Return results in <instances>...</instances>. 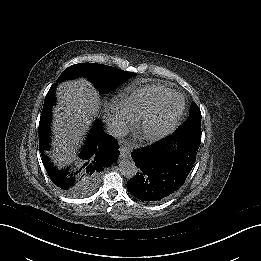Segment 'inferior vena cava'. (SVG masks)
<instances>
[{
    "label": "inferior vena cava",
    "instance_id": "obj_1",
    "mask_svg": "<svg viewBox=\"0 0 261 261\" xmlns=\"http://www.w3.org/2000/svg\"><path fill=\"white\" fill-rule=\"evenodd\" d=\"M105 128L106 133H108L116 139H121L126 135V129L124 125L114 118L106 119Z\"/></svg>",
    "mask_w": 261,
    "mask_h": 261
}]
</instances>
